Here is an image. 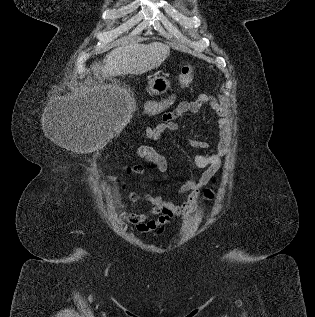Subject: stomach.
Returning <instances> with one entry per match:
<instances>
[{
    "label": "stomach",
    "instance_id": "obj_1",
    "mask_svg": "<svg viewBox=\"0 0 315 317\" xmlns=\"http://www.w3.org/2000/svg\"><path fill=\"white\" fill-rule=\"evenodd\" d=\"M171 87L167 76H155L148 81L147 91L151 95H161Z\"/></svg>",
    "mask_w": 315,
    "mask_h": 317
}]
</instances>
